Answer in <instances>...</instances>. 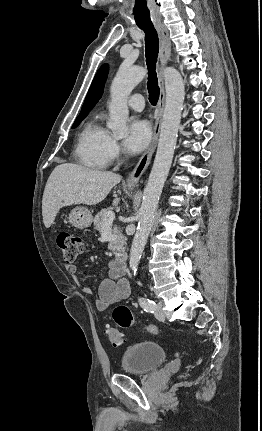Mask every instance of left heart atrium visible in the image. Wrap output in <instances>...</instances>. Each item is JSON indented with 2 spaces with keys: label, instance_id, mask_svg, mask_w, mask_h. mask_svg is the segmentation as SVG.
<instances>
[{
  "label": "left heart atrium",
  "instance_id": "39dd6f15",
  "mask_svg": "<svg viewBox=\"0 0 262 431\" xmlns=\"http://www.w3.org/2000/svg\"><path fill=\"white\" fill-rule=\"evenodd\" d=\"M150 137L151 130L148 122L134 119L129 123L124 146L129 153L137 154L148 145Z\"/></svg>",
  "mask_w": 262,
  "mask_h": 431
}]
</instances>
